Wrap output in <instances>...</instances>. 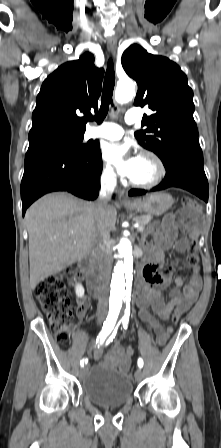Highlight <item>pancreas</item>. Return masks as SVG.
Returning <instances> with one entry per match:
<instances>
[{
  "mask_svg": "<svg viewBox=\"0 0 221 448\" xmlns=\"http://www.w3.org/2000/svg\"><path fill=\"white\" fill-rule=\"evenodd\" d=\"M151 219H152L151 216L143 215V216L135 217L133 220L135 223L140 224L143 227H146L150 223Z\"/></svg>",
  "mask_w": 221,
  "mask_h": 448,
  "instance_id": "obj_1",
  "label": "pancreas"
}]
</instances>
